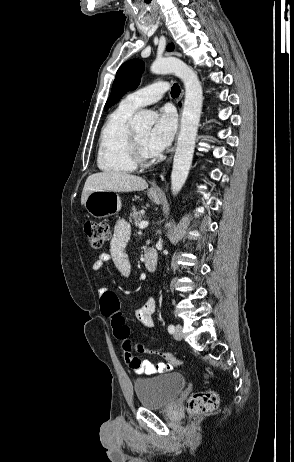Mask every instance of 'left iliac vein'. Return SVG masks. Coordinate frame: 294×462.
I'll return each mask as SVG.
<instances>
[{"mask_svg":"<svg viewBox=\"0 0 294 462\" xmlns=\"http://www.w3.org/2000/svg\"><path fill=\"white\" fill-rule=\"evenodd\" d=\"M174 338L178 341L182 340L183 334H182V327L181 325H176L175 331H174Z\"/></svg>","mask_w":294,"mask_h":462,"instance_id":"4c4485c4","label":"left iliac vein"}]
</instances>
